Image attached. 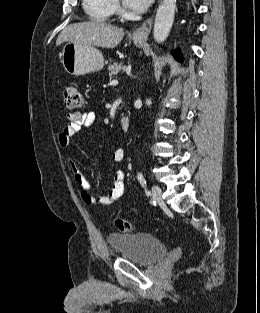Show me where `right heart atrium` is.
Segmentation results:
<instances>
[{
    "mask_svg": "<svg viewBox=\"0 0 260 313\" xmlns=\"http://www.w3.org/2000/svg\"><path fill=\"white\" fill-rule=\"evenodd\" d=\"M115 9H118V3L115 1Z\"/></svg>",
    "mask_w": 260,
    "mask_h": 313,
    "instance_id": "right-heart-atrium-1",
    "label": "right heart atrium"
}]
</instances>
